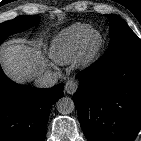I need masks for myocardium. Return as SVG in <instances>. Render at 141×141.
<instances>
[{"mask_svg": "<svg viewBox=\"0 0 141 141\" xmlns=\"http://www.w3.org/2000/svg\"><path fill=\"white\" fill-rule=\"evenodd\" d=\"M96 38V41L93 39ZM104 46L103 35L95 29H91L85 36L77 61L80 66L87 67L93 64L99 57Z\"/></svg>", "mask_w": 141, "mask_h": 141, "instance_id": "1", "label": "myocardium"}]
</instances>
